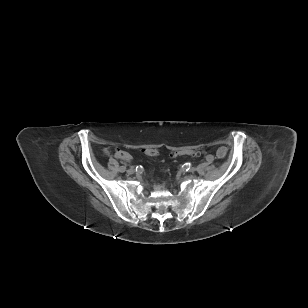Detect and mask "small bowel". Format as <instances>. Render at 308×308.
Returning a JSON list of instances; mask_svg holds the SVG:
<instances>
[{"label": "small bowel", "instance_id": "small-bowel-1", "mask_svg": "<svg viewBox=\"0 0 308 308\" xmlns=\"http://www.w3.org/2000/svg\"><path fill=\"white\" fill-rule=\"evenodd\" d=\"M226 153H227L226 148L221 147V148H219L218 151H217V156H218L219 158H222V157H224V156L226 155Z\"/></svg>", "mask_w": 308, "mask_h": 308}]
</instances>
